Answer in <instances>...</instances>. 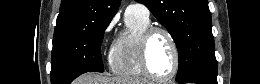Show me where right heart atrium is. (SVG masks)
Segmentation results:
<instances>
[{
    "instance_id": "obj_1",
    "label": "right heart atrium",
    "mask_w": 260,
    "mask_h": 84,
    "mask_svg": "<svg viewBox=\"0 0 260 84\" xmlns=\"http://www.w3.org/2000/svg\"><path fill=\"white\" fill-rule=\"evenodd\" d=\"M114 25H115V20L114 19L106 25V27L104 29V35L105 36H107L111 32V30L113 29Z\"/></svg>"
}]
</instances>
